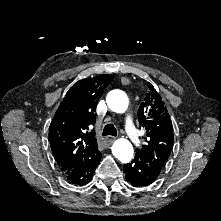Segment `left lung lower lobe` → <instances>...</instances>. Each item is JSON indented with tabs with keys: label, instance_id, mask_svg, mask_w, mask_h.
Here are the masks:
<instances>
[{
	"label": "left lung lower lobe",
	"instance_id": "0a47b994",
	"mask_svg": "<svg viewBox=\"0 0 221 221\" xmlns=\"http://www.w3.org/2000/svg\"><path fill=\"white\" fill-rule=\"evenodd\" d=\"M127 181L135 187H143L152 184L160 175V172L149 166L143 160L135 157L131 163L124 165Z\"/></svg>",
	"mask_w": 221,
	"mask_h": 221
}]
</instances>
